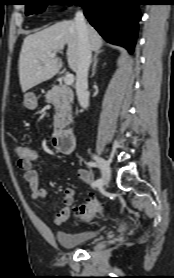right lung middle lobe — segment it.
I'll return each instance as SVG.
<instances>
[{
  "mask_svg": "<svg viewBox=\"0 0 174 278\" xmlns=\"http://www.w3.org/2000/svg\"><path fill=\"white\" fill-rule=\"evenodd\" d=\"M51 0H26V15L43 11ZM68 5H75L78 0H69Z\"/></svg>",
  "mask_w": 174,
  "mask_h": 278,
  "instance_id": "right-lung-middle-lobe-1",
  "label": "right lung middle lobe"
}]
</instances>
